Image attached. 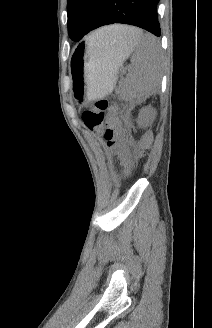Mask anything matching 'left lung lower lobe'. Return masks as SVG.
<instances>
[{"label":"left lung lower lobe","instance_id":"0a47b994","mask_svg":"<svg viewBox=\"0 0 212 328\" xmlns=\"http://www.w3.org/2000/svg\"><path fill=\"white\" fill-rule=\"evenodd\" d=\"M158 2L159 0H103L90 31L108 24L123 23L138 26L160 37Z\"/></svg>","mask_w":212,"mask_h":328}]
</instances>
